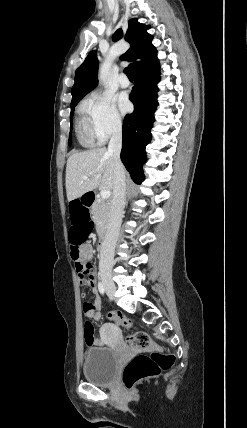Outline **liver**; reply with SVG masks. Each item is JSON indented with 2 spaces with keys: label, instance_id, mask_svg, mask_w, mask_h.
Wrapping results in <instances>:
<instances>
[{
  "label": "liver",
  "instance_id": "obj_1",
  "mask_svg": "<svg viewBox=\"0 0 247 428\" xmlns=\"http://www.w3.org/2000/svg\"><path fill=\"white\" fill-rule=\"evenodd\" d=\"M88 176V179H83ZM115 183L113 158L105 148H94L72 154L66 166V192L73 201L97 187L113 191Z\"/></svg>",
  "mask_w": 247,
  "mask_h": 428
}]
</instances>
